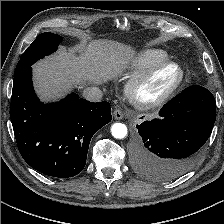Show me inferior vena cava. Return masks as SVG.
<instances>
[{"label":"inferior vena cava","instance_id":"obj_1","mask_svg":"<svg viewBox=\"0 0 224 224\" xmlns=\"http://www.w3.org/2000/svg\"><path fill=\"white\" fill-rule=\"evenodd\" d=\"M103 92L99 87L91 86L83 90V97L91 102H98L102 99Z\"/></svg>","mask_w":224,"mask_h":224}]
</instances>
